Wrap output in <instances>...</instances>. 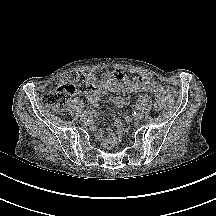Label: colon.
<instances>
[{
	"instance_id": "5ec220e1",
	"label": "colon",
	"mask_w": 216,
	"mask_h": 216,
	"mask_svg": "<svg viewBox=\"0 0 216 216\" xmlns=\"http://www.w3.org/2000/svg\"><path fill=\"white\" fill-rule=\"evenodd\" d=\"M79 82L88 83L89 79L78 72H70L57 88L48 91L42 97V102L55 112H62L70 98L75 93V85ZM163 102L165 107H172L176 102L175 93L165 88L163 90Z\"/></svg>"
}]
</instances>
